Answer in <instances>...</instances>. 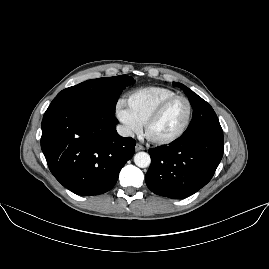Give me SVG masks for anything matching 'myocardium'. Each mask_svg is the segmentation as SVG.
Here are the masks:
<instances>
[{
	"label": "myocardium",
	"mask_w": 269,
	"mask_h": 269,
	"mask_svg": "<svg viewBox=\"0 0 269 269\" xmlns=\"http://www.w3.org/2000/svg\"><path fill=\"white\" fill-rule=\"evenodd\" d=\"M178 100H184L187 103V116L184 125L182 128L172 137L166 138V139H161V140H156L153 139L150 134L149 130L151 126L162 116V114L166 111V109L174 102ZM192 118V105L190 100L185 97V96H175L172 97L163 103H161L146 119L144 123V137L145 139L150 142L151 144L158 146V147H163L167 145H171L178 141L180 138L184 136L186 131L189 128L190 122Z\"/></svg>",
	"instance_id": "obj_1"
}]
</instances>
